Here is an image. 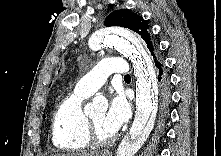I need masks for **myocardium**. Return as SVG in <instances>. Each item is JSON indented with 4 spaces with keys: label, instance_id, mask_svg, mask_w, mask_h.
Masks as SVG:
<instances>
[{
    "label": "myocardium",
    "instance_id": "f54148a6",
    "mask_svg": "<svg viewBox=\"0 0 221 156\" xmlns=\"http://www.w3.org/2000/svg\"><path fill=\"white\" fill-rule=\"evenodd\" d=\"M85 135L90 144L104 146L111 144L115 140V135H112L107 138L101 137L90 117L85 118Z\"/></svg>",
    "mask_w": 221,
    "mask_h": 156
}]
</instances>
